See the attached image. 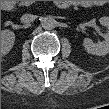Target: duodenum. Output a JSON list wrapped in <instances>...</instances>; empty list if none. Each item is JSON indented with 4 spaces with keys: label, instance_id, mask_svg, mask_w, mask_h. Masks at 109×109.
I'll return each mask as SVG.
<instances>
[{
    "label": "duodenum",
    "instance_id": "1",
    "mask_svg": "<svg viewBox=\"0 0 109 109\" xmlns=\"http://www.w3.org/2000/svg\"><path fill=\"white\" fill-rule=\"evenodd\" d=\"M71 5L69 1H58V6L61 8H67ZM2 8L6 11L10 10L12 8V4L9 1H6L2 4Z\"/></svg>",
    "mask_w": 109,
    "mask_h": 109
}]
</instances>
